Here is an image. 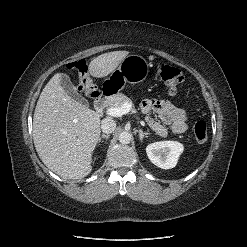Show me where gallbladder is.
I'll list each match as a JSON object with an SVG mask.
<instances>
[{
	"instance_id": "obj_1",
	"label": "gallbladder",
	"mask_w": 247,
	"mask_h": 247,
	"mask_svg": "<svg viewBox=\"0 0 247 247\" xmlns=\"http://www.w3.org/2000/svg\"><path fill=\"white\" fill-rule=\"evenodd\" d=\"M60 86L64 91L74 100L82 103L85 106H89V103L86 99L82 98L73 88V85L70 81V78L66 74H61Z\"/></svg>"
}]
</instances>
